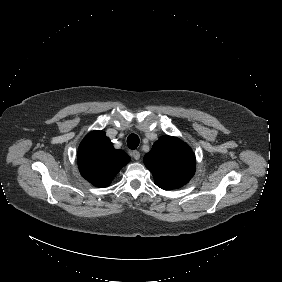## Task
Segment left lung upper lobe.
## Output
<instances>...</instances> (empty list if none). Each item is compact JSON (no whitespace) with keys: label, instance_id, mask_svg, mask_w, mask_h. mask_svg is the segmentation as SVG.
<instances>
[{"label":"left lung upper lobe","instance_id":"1","mask_svg":"<svg viewBox=\"0 0 282 282\" xmlns=\"http://www.w3.org/2000/svg\"><path fill=\"white\" fill-rule=\"evenodd\" d=\"M155 184L172 190L184 186L195 173V155L191 148L176 137L162 136L144 156Z\"/></svg>","mask_w":282,"mask_h":282}]
</instances>
